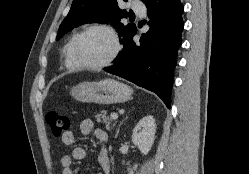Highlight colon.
<instances>
[{
    "label": "colon",
    "mask_w": 249,
    "mask_h": 174,
    "mask_svg": "<svg viewBox=\"0 0 249 174\" xmlns=\"http://www.w3.org/2000/svg\"><path fill=\"white\" fill-rule=\"evenodd\" d=\"M46 122L54 136H62L70 128V119L58 110H51L46 115Z\"/></svg>",
    "instance_id": "colon-1"
}]
</instances>
